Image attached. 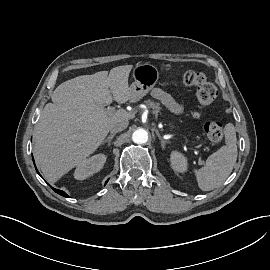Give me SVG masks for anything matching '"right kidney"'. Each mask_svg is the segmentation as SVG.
<instances>
[{
  "mask_svg": "<svg viewBox=\"0 0 270 270\" xmlns=\"http://www.w3.org/2000/svg\"><path fill=\"white\" fill-rule=\"evenodd\" d=\"M106 162L104 154H97L90 158L84 159L75 169L74 178L84 180L102 169Z\"/></svg>",
  "mask_w": 270,
  "mask_h": 270,
  "instance_id": "ca27d5eb",
  "label": "right kidney"
}]
</instances>
